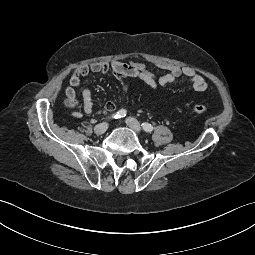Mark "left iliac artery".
<instances>
[{
  "mask_svg": "<svg viewBox=\"0 0 255 255\" xmlns=\"http://www.w3.org/2000/svg\"><path fill=\"white\" fill-rule=\"evenodd\" d=\"M142 128L146 131V132H152L153 131V126L149 123H142Z\"/></svg>",
  "mask_w": 255,
  "mask_h": 255,
  "instance_id": "left-iliac-artery-1",
  "label": "left iliac artery"
}]
</instances>
